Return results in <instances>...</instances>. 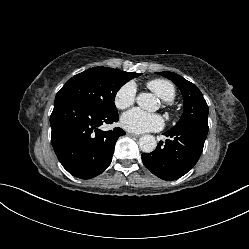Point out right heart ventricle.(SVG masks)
<instances>
[{
	"instance_id": "right-heart-ventricle-1",
	"label": "right heart ventricle",
	"mask_w": 249,
	"mask_h": 249,
	"mask_svg": "<svg viewBox=\"0 0 249 249\" xmlns=\"http://www.w3.org/2000/svg\"><path fill=\"white\" fill-rule=\"evenodd\" d=\"M146 85L163 101L172 102L176 97L175 86L166 79H153L148 81Z\"/></svg>"
}]
</instances>
